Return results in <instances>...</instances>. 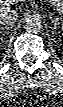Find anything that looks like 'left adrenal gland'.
<instances>
[{"label":"left adrenal gland","mask_w":63,"mask_h":107,"mask_svg":"<svg viewBox=\"0 0 63 107\" xmlns=\"http://www.w3.org/2000/svg\"><path fill=\"white\" fill-rule=\"evenodd\" d=\"M50 20L54 24V29H57V26L61 24L58 18H53L52 15H49Z\"/></svg>","instance_id":"a2214340"}]
</instances>
